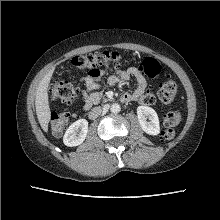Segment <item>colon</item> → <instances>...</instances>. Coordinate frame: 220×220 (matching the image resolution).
Instances as JSON below:
<instances>
[{
  "label": "colon",
  "instance_id": "colon-1",
  "mask_svg": "<svg viewBox=\"0 0 220 220\" xmlns=\"http://www.w3.org/2000/svg\"><path fill=\"white\" fill-rule=\"evenodd\" d=\"M122 57L118 52L106 51L102 53H91L76 56L71 60L72 67L80 70H88L89 73L100 70V68H116L121 66ZM142 71L148 77H156L161 72L159 62L151 57L142 61ZM178 91L176 82L172 79L165 81L158 92V98L165 104L171 103ZM78 97V89L66 79L60 77L50 87V98L55 102L71 104ZM145 105H153L155 97L147 94L142 98ZM71 120V114L65 111L53 112L51 114V129L54 135H60ZM181 114L178 111H169L164 115L165 130L162 132L163 140L167 141L174 137V128L180 123Z\"/></svg>",
  "mask_w": 220,
  "mask_h": 220
}]
</instances>
